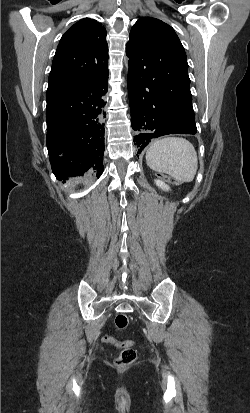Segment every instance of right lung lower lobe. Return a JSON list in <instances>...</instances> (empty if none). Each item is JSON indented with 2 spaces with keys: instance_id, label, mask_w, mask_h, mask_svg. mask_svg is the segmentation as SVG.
<instances>
[{
  "instance_id": "1",
  "label": "right lung lower lobe",
  "mask_w": 250,
  "mask_h": 413,
  "mask_svg": "<svg viewBox=\"0 0 250 413\" xmlns=\"http://www.w3.org/2000/svg\"><path fill=\"white\" fill-rule=\"evenodd\" d=\"M108 90V71L84 84L47 92V148L58 180L86 171L103 172V97Z\"/></svg>"
}]
</instances>
